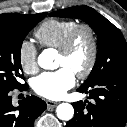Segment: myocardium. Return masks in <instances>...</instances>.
Masks as SVG:
<instances>
[{"label":"myocardium","instance_id":"myocardium-1","mask_svg":"<svg viewBox=\"0 0 127 127\" xmlns=\"http://www.w3.org/2000/svg\"><path fill=\"white\" fill-rule=\"evenodd\" d=\"M82 34H86L89 39L90 54H89V59H88L86 67L83 70L75 73L76 76L81 79L88 77L92 73V71L96 65L99 44H98V37H97L95 29L91 25L86 24V23L78 24L66 36L63 43L58 48L59 54H61L62 56H68L70 54L74 44L76 43L77 39Z\"/></svg>","mask_w":127,"mask_h":127}]
</instances>
